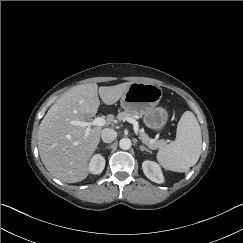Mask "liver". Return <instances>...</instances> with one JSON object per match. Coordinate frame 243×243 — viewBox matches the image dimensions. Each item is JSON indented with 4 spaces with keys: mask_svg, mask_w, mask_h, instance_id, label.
Listing matches in <instances>:
<instances>
[{
    "mask_svg": "<svg viewBox=\"0 0 243 243\" xmlns=\"http://www.w3.org/2000/svg\"><path fill=\"white\" fill-rule=\"evenodd\" d=\"M130 82L115 86L96 83L78 85L65 92L47 111L38 130V149L46 169L66 183L84 180L89 174V160L99 142L102 128L92 127L86 139V128L73 126L72 120L85 121L95 116L101 100L106 105L116 103ZM113 116L107 117L109 124Z\"/></svg>",
    "mask_w": 243,
    "mask_h": 243,
    "instance_id": "obj_1",
    "label": "liver"
}]
</instances>
